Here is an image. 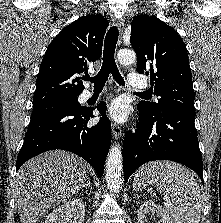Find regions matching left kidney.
Listing matches in <instances>:
<instances>
[{
	"label": "left kidney",
	"mask_w": 221,
	"mask_h": 223,
	"mask_svg": "<svg viewBox=\"0 0 221 223\" xmlns=\"http://www.w3.org/2000/svg\"><path fill=\"white\" fill-rule=\"evenodd\" d=\"M152 212L160 218L158 223H174L167 211L160 205L153 202H144L138 209L137 223H146V215Z\"/></svg>",
	"instance_id": "obj_1"
}]
</instances>
